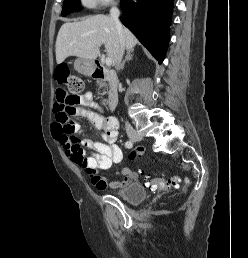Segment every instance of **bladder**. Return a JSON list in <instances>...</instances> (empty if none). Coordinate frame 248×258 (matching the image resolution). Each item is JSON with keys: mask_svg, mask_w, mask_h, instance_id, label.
Here are the masks:
<instances>
[{"mask_svg": "<svg viewBox=\"0 0 248 258\" xmlns=\"http://www.w3.org/2000/svg\"><path fill=\"white\" fill-rule=\"evenodd\" d=\"M118 195L130 204H139L147 198V190L140 183H130L123 187Z\"/></svg>", "mask_w": 248, "mask_h": 258, "instance_id": "1", "label": "bladder"}]
</instances>
